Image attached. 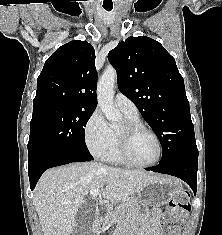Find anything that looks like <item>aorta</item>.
Returning a JSON list of instances; mask_svg holds the SVG:
<instances>
[{
	"instance_id": "762f6f07",
	"label": "aorta",
	"mask_w": 222,
	"mask_h": 235,
	"mask_svg": "<svg viewBox=\"0 0 222 235\" xmlns=\"http://www.w3.org/2000/svg\"><path fill=\"white\" fill-rule=\"evenodd\" d=\"M117 78L116 70L112 67L105 69L100 77L97 90L98 105L107 120L112 123L120 122L122 115L114 105V84Z\"/></svg>"
}]
</instances>
